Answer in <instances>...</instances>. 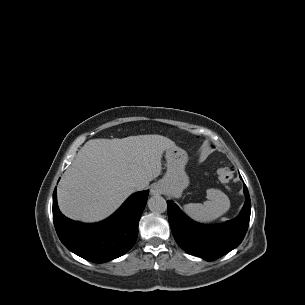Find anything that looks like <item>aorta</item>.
Listing matches in <instances>:
<instances>
[{"label":"aorta","instance_id":"1","mask_svg":"<svg viewBox=\"0 0 305 305\" xmlns=\"http://www.w3.org/2000/svg\"><path fill=\"white\" fill-rule=\"evenodd\" d=\"M148 208L156 214L164 213L167 210L166 200L161 196H152L148 200Z\"/></svg>","mask_w":305,"mask_h":305}]
</instances>
